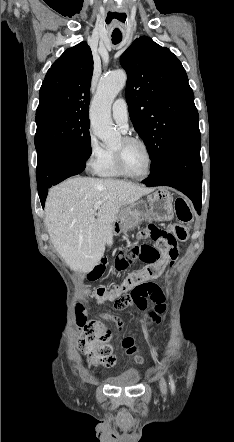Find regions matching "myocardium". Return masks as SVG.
Wrapping results in <instances>:
<instances>
[{
  "instance_id": "1",
  "label": "myocardium",
  "mask_w": 234,
  "mask_h": 442,
  "mask_svg": "<svg viewBox=\"0 0 234 442\" xmlns=\"http://www.w3.org/2000/svg\"><path fill=\"white\" fill-rule=\"evenodd\" d=\"M122 140L125 144L136 143L144 148L147 155V169L143 174L139 175L130 173L125 167L122 151L120 149H114L115 165L119 173L127 178L135 180H143L149 177L153 167V155L149 145L143 139L134 136H125Z\"/></svg>"
}]
</instances>
